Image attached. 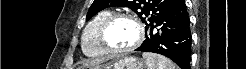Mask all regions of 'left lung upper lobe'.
<instances>
[{"label": "left lung upper lobe", "mask_w": 246, "mask_h": 69, "mask_svg": "<svg viewBox=\"0 0 246 69\" xmlns=\"http://www.w3.org/2000/svg\"><path fill=\"white\" fill-rule=\"evenodd\" d=\"M175 0H94L86 16L88 21L99 11L111 7H129L146 24V29L162 16Z\"/></svg>", "instance_id": "obj_1"}]
</instances>
